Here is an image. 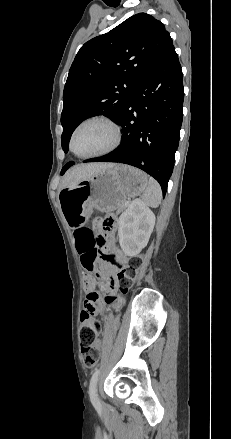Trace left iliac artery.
<instances>
[{
    "instance_id": "obj_1",
    "label": "left iliac artery",
    "mask_w": 231,
    "mask_h": 439,
    "mask_svg": "<svg viewBox=\"0 0 231 439\" xmlns=\"http://www.w3.org/2000/svg\"><path fill=\"white\" fill-rule=\"evenodd\" d=\"M99 372H100V370H98V369L95 370V372L93 373V375L91 377L90 384H89V396H90L91 403L93 404V406L95 408H99L101 406L100 401L98 399L97 388H96Z\"/></svg>"
}]
</instances>
